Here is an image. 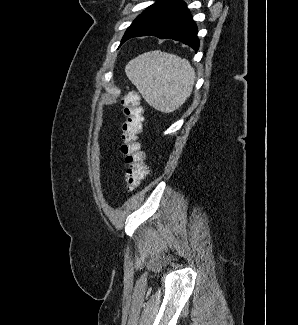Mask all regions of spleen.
I'll use <instances>...</instances> for the list:
<instances>
[{
	"label": "spleen",
	"instance_id": "3e777b00",
	"mask_svg": "<svg viewBox=\"0 0 298 325\" xmlns=\"http://www.w3.org/2000/svg\"><path fill=\"white\" fill-rule=\"evenodd\" d=\"M125 72L144 100L161 112H173L189 98L195 70L187 58L149 50L129 60Z\"/></svg>",
	"mask_w": 298,
	"mask_h": 325
}]
</instances>
